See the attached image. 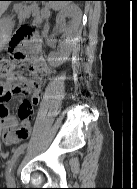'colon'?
<instances>
[{
    "label": "colon",
    "mask_w": 137,
    "mask_h": 189,
    "mask_svg": "<svg viewBox=\"0 0 137 189\" xmlns=\"http://www.w3.org/2000/svg\"><path fill=\"white\" fill-rule=\"evenodd\" d=\"M36 40V32L29 26H22L15 31L7 45V56H0V84L7 82L14 63L23 60L22 47L26 43ZM20 110L25 112L26 115H31L33 107L28 101H24L20 106Z\"/></svg>",
    "instance_id": "1"
}]
</instances>
